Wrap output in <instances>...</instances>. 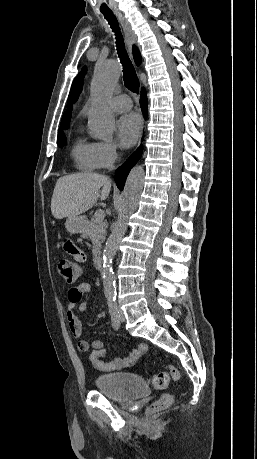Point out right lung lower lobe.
Returning <instances> with one entry per match:
<instances>
[{"mask_svg": "<svg viewBox=\"0 0 257 459\" xmlns=\"http://www.w3.org/2000/svg\"><path fill=\"white\" fill-rule=\"evenodd\" d=\"M140 105L141 109L143 112L144 117H147V98H146V93L143 90L141 94V100H140ZM142 155V146H140L134 154H132L125 162L124 164L119 167L116 172H115V182L117 184V187L120 190H123L124 184L126 177L129 173V171L132 169V167L136 164V162L140 159Z\"/></svg>", "mask_w": 257, "mask_h": 459, "instance_id": "obj_1", "label": "right lung lower lobe"}]
</instances>
